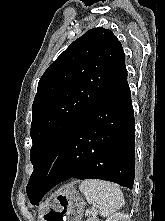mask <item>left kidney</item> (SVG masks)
Instances as JSON below:
<instances>
[{
	"label": "left kidney",
	"instance_id": "left-kidney-1",
	"mask_svg": "<svg viewBox=\"0 0 165 221\" xmlns=\"http://www.w3.org/2000/svg\"><path fill=\"white\" fill-rule=\"evenodd\" d=\"M106 221H130V217L128 214L119 212L111 215Z\"/></svg>",
	"mask_w": 165,
	"mask_h": 221
}]
</instances>
